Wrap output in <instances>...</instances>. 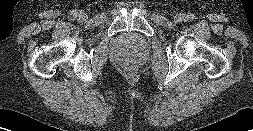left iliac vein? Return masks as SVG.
I'll list each match as a JSON object with an SVG mask.
<instances>
[{
  "instance_id": "left-iliac-vein-1",
  "label": "left iliac vein",
  "mask_w": 253,
  "mask_h": 131,
  "mask_svg": "<svg viewBox=\"0 0 253 131\" xmlns=\"http://www.w3.org/2000/svg\"><path fill=\"white\" fill-rule=\"evenodd\" d=\"M174 19H175L176 22L181 23V22L186 20V16L182 13H179L175 16Z\"/></svg>"
}]
</instances>
